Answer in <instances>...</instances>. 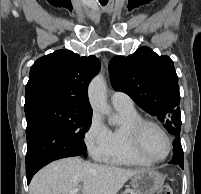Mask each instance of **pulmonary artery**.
<instances>
[{
	"label": "pulmonary artery",
	"mask_w": 201,
	"mask_h": 194,
	"mask_svg": "<svg viewBox=\"0 0 201 194\" xmlns=\"http://www.w3.org/2000/svg\"><path fill=\"white\" fill-rule=\"evenodd\" d=\"M111 102L114 107L134 108L132 99L123 92H113L111 95Z\"/></svg>",
	"instance_id": "obj_1"
}]
</instances>
